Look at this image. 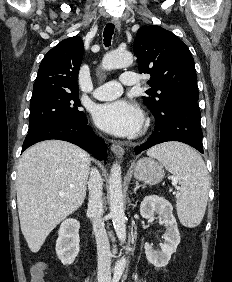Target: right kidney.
<instances>
[{
    "label": "right kidney",
    "mask_w": 232,
    "mask_h": 282,
    "mask_svg": "<svg viewBox=\"0 0 232 282\" xmlns=\"http://www.w3.org/2000/svg\"><path fill=\"white\" fill-rule=\"evenodd\" d=\"M80 223L76 219H66L61 223L56 241V254L63 265L74 262L80 250Z\"/></svg>",
    "instance_id": "1"
}]
</instances>
